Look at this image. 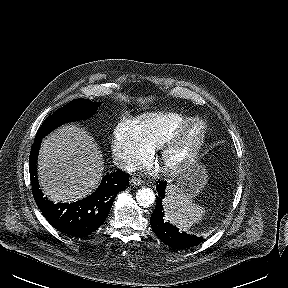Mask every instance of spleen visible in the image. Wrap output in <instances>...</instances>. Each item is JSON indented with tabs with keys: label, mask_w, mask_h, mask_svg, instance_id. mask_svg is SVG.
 <instances>
[{
	"label": "spleen",
	"mask_w": 288,
	"mask_h": 288,
	"mask_svg": "<svg viewBox=\"0 0 288 288\" xmlns=\"http://www.w3.org/2000/svg\"><path fill=\"white\" fill-rule=\"evenodd\" d=\"M165 220L176 225L179 229L187 230L198 223L205 209L192 202L190 198L176 194L171 188L163 201Z\"/></svg>",
	"instance_id": "obj_1"
}]
</instances>
